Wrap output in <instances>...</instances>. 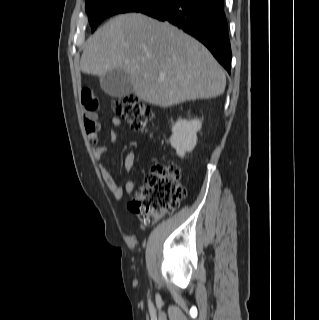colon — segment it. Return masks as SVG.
I'll use <instances>...</instances> for the list:
<instances>
[{
	"mask_svg": "<svg viewBox=\"0 0 319 320\" xmlns=\"http://www.w3.org/2000/svg\"><path fill=\"white\" fill-rule=\"evenodd\" d=\"M113 107L133 131L144 133L148 130L153 113L137 96L117 98L113 101ZM186 194L180 169L172 163L157 162L151 166L143 187L130 202L129 209L141 223L152 225L173 212Z\"/></svg>",
	"mask_w": 319,
	"mask_h": 320,
	"instance_id": "colon-1",
	"label": "colon"
}]
</instances>
